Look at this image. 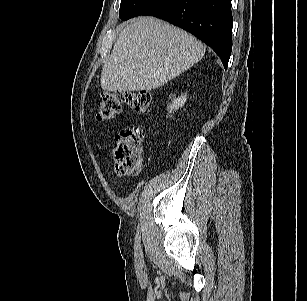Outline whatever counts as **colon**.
<instances>
[{"instance_id":"1","label":"colon","mask_w":307,"mask_h":301,"mask_svg":"<svg viewBox=\"0 0 307 301\" xmlns=\"http://www.w3.org/2000/svg\"><path fill=\"white\" fill-rule=\"evenodd\" d=\"M126 105L137 113H147L152 105V95L147 91L104 92L98 104L97 119L110 121ZM116 171L119 175L137 176L143 164V132L138 127L122 130L113 149Z\"/></svg>"}]
</instances>
